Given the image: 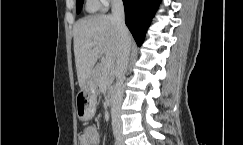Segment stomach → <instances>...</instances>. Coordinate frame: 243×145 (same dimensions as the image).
<instances>
[{
  "label": "stomach",
  "instance_id": "0dacf381",
  "mask_svg": "<svg viewBox=\"0 0 243 145\" xmlns=\"http://www.w3.org/2000/svg\"><path fill=\"white\" fill-rule=\"evenodd\" d=\"M96 86L94 84L85 83L81 87V92L76 97V110L81 119H88L94 116L93 107L96 103Z\"/></svg>",
  "mask_w": 243,
  "mask_h": 145
}]
</instances>
